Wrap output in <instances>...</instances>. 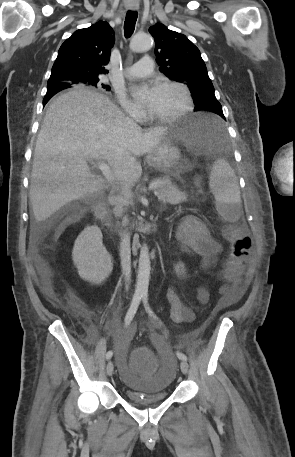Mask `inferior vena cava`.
<instances>
[{
    "mask_svg": "<svg viewBox=\"0 0 295 457\" xmlns=\"http://www.w3.org/2000/svg\"><path fill=\"white\" fill-rule=\"evenodd\" d=\"M124 226V224H122ZM120 259L122 272L125 276L126 287L131 282V250H130V233L124 230L121 234L120 242Z\"/></svg>",
    "mask_w": 295,
    "mask_h": 457,
    "instance_id": "obj_1",
    "label": "inferior vena cava"
}]
</instances>
